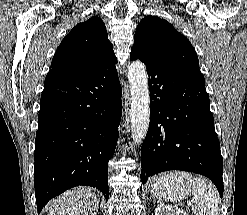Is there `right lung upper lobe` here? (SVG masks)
<instances>
[{"label": "right lung upper lobe", "mask_w": 247, "mask_h": 215, "mask_svg": "<svg viewBox=\"0 0 247 215\" xmlns=\"http://www.w3.org/2000/svg\"><path fill=\"white\" fill-rule=\"evenodd\" d=\"M117 60L103 21L97 16L77 24L64 37L52 59L51 69L85 75Z\"/></svg>", "instance_id": "1"}]
</instances>
